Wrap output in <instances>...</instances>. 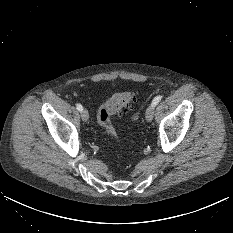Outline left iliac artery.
<instances>
[{"mask_svg":"<svg viewBox=\"0 0 233 233\" xmlns=\"http://www.w3.org/2000/svg\"><path fill=\"white\" fill-rule=\"evenodd\" d=\"M161 96L159 95V96H156L154 99H153V101H152V104L154 105V106H156L159 102H160V100H161Z\"/></svg>","mask_w":233,"mask_h":233,"instance_id":"obj_1","label":"left iliac artery"}]
</instances>
